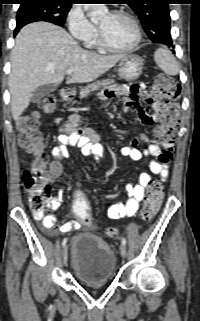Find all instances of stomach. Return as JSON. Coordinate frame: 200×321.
Masks as SVG:
<instances>
[{"label":"stomach","instance_id":"obj_1","mask_svg":"<svg viewBox=\"0 0 200 321\" xmlns=\"http://www.w3.org/2000/svg\"><path fill=\"white\" fill-rule=\"evenodd\" d=\"M144 60L138 55H125L119 60L118 75L120 78L132 81L137 79L143 70Z\"/></svg>","mask_w":200,"mask_h":321}]
</instances>
